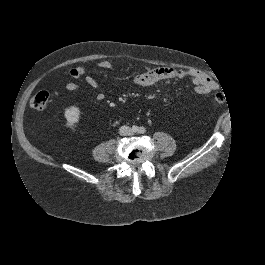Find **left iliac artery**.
Here are the masks:
<instances>
[{
    "label": "left iliac artery",
    "mask_w": 265,
    "mask_h": 265,
    "mask_svg": "<svg viewBox=\"0 0 265 265\" xmlns=\"http://www.w3.org/2000/svg\"><path fill=\"white\" fill-rule=\"evenodd\" d=\"M146 132V129L144 127H140L139 133L144 134Z\"/></svg>",
    "instance_id": "44dca946"
}]
</instances>
